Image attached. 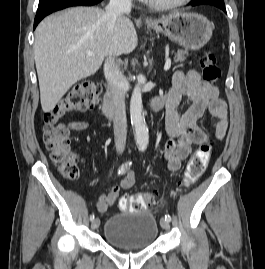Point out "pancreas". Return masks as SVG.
Returning a JSON list of instances; mask_svg holds the SVG:
<instances>
[{
	"label": "pancreas",
	"instance_id": "obj_1",
	"mask_svg": "<svg viewBox=\"0 0 265 269\" xmlns=\"http://www.w3.org/2000/svg\"><path fill=\"white\" fill-rule=\"evenodd\" d=\"M188 55L189 53L187 50H178L176 53H174V62H183Z\"/></svg>",
	"mask_w": 265,
	"mask_h": 269
}]
</instances>
